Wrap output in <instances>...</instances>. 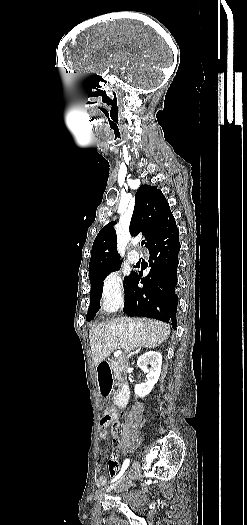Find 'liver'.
<instances>
[{
	"label": "liver",
	"instance_id": "liver-1",
	"mask_svg": "<svg viewBox=\"0 0 247 525\" xmlns=\"http://www.w3.org/2000/svg\"><path fill=\"white\" fill-rule=\"evenodd\" d=\"M169 335L170 325L154 319L117 317L93 325L90 331V345L95 367L116 349H123L124 353H130L134 347L155 349L164 343Z\"/></svg>",
	"mask_w": 247,
	"mask_h": 525
}]
</instances>
